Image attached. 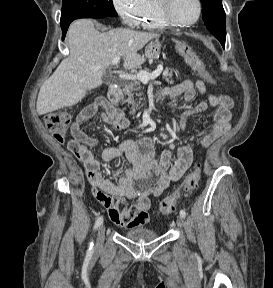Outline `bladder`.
I'll use <instances>...</instances> for the list:
<instances>
[{"instance_id":"31cf9c89","label":"bladder","mask_w":273,"mask_h":288,"mask_svg":"<svg viewBox=\"0 0 273 288\" xmlns=\"http://www.w3.org/2000/svg\"><path fill=\"white\" fill-rule=\"evenodd\" d=\"M124 236L131 241H151L158 236V233L150 228L139 227L124 233Z\"/></svg>"}]
</instances>
